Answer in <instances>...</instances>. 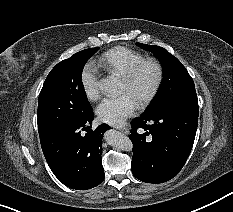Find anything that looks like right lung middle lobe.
Wrapping results in <instances>:
<instances>
[{
    "label": "right lung middle lobe",
    "instance_id": "dd1d6c3e",
    "mask_svg": "<svg viewBox=\"0 0 233 212\" xmlns=\"http://www.w3.org/2000/svg\"><path fill=\"white\" fill-rule=\"evenodd\" d=\"M98 49L90 48L72 55L58 63L47 76L38 100L40 138L92 112L81 82V73L87 60Z\"/></svg>",
    "mask_w": 233,
    "mask_h": 212
}]
</instances>
